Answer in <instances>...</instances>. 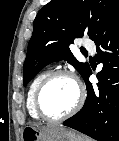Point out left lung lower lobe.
<instances>
[{
  "instance_id": "obj_1",
  "label": "left lung lower lobe",
  "mask_w": 119,
  "mask_h": 141,
  "mask_svg": "<svg viewBox=\"0 0 119 141\" xmlns=\"http://www.w3.org/2000/svg\"><path fill=\"white\" fill-rule=\"evenodd\" d=\"M97 59L103 63L99 83L89 82L91 69L83 77L87 98L83 108L63 122L98 141H119V8L95 33Z\"/></svg>"
}]
</instances>
